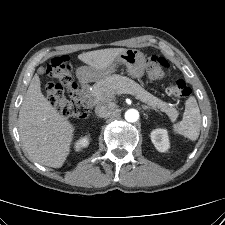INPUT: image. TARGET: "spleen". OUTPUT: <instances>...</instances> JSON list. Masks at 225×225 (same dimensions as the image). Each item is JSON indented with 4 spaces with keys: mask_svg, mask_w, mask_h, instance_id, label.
Listing matches in <instances>:
<instances>
[{
    "mask_svg": "<svg viewBox=\"0 0 225 225\" xmlns=\"http://www.w3.org/2000/svg\"><path fill=\"white\" fill-rule=\"evenodd\" d=\"M201 114L195 97H189L185 102V111L180 122L172 126L174 133L195 141L199 137Z\"/></svg>",
    "mask_w": 225,
    "mask_h": 225,
    "instance_id": "spleen-1",
    "label": "spleen"
}]
</instances>
